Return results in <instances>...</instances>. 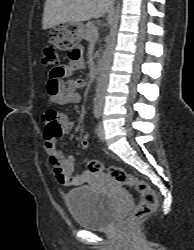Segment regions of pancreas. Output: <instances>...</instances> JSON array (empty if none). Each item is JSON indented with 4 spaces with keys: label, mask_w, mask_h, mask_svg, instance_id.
<instances>
[{
    "label": "pancreas",
    "mask_w": 194,
    "mask_h": 250,
    "mask_svg": "<svg viewBox=\"0 0 194 250\" xmlns=\"http://www.w3.org/2000/svg\"><path fill=\"white\" fill-rule=\"evenodd\" d=\"M95 31H97L95 24L93 22H88L85 26L84 38L86 40L97 39L98 36L97 37L95 36Z\"/></svg>",
    "instance_id": "cf45deb5"
}]
</instances>
